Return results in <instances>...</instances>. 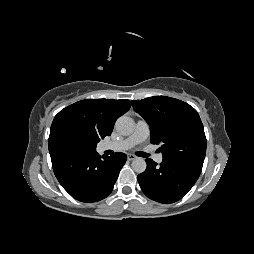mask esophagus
Wrapping results in <instances>:
<instances>
[{"mask_svg": "<svg viewBox=\"0 0 254 254\" xmlns=\"http://www.w3.org/2000/svg\"><path fill=\"white\" fill-rule=\"evenodd\" d=\"M127 158H128V160L132 161V160L136 159V156L134 154H128Z\"/></svg>", "mask_w": 254, "mask_h": 254, "instance_id": "obj_1", "label": "esophagus"}]
</instances>
